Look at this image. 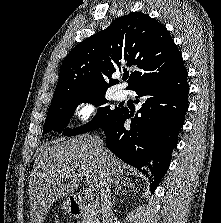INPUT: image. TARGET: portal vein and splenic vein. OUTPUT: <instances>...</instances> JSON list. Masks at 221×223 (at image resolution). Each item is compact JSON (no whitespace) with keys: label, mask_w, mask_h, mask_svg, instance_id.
I'll use <instances>...</instances> for the list:
<instances>
[{"label":"portal vein and splenic vein","mask_w":221,"mask_h":223,"mask_svg":"<svg viewBox=\"0 0 221 223\" xmlns=\"http://www.w3.org/2000/svg\"><path fill=\"white\" fill-rule=\"evenodd\" d=\"M74 181H79V179L77 178L76 175H71L70 176ZM84 195H85V198L88 199V200H92L94 198V192L91 188H87L85 191H84Z\"/></svg>","instance_id":"portal-vein-and-splenic-vein-1"}]
</instances>
